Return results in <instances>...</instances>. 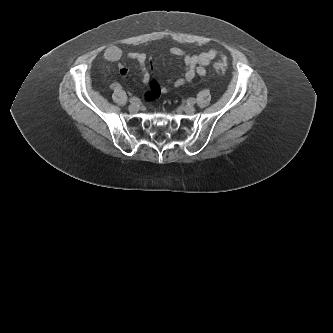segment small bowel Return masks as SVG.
<instances>
[{"instance_id": "1", "label": "small bowel", "mask_w": 333, "mask_h": 333, "mask_svg": "<svg viewBox=\"0 0 333 333\" xmlns=\"http://www.w3.org/2000/svg\"><path fill=\"white\" fill-rule=\"evenodd\" d=\"M170 52L173 56L183 59L185 69L180 77L169 80V85H160L152 78L150 72L151 69L147 65L148 59L146 54L134 51L128 53V57L139 64L142 81L149 85V91L146 95L149 100L156 98L160 94L168 93L170 91V86L178 88L191 83L197 75L201 77L205 76L207 73V66L210 65L213 59L217 56V51L215 49H210L200 54H189L178 47H173ZM122 55L121 48L115 45L107 47L103 53L104 59L109 62H118L122 58ZM119 73L121 76H126L127 69L120 65ZM119 88L120 84L118 82H113L111 84V89L118 90Z\"/></svg>"}]
</instances>
